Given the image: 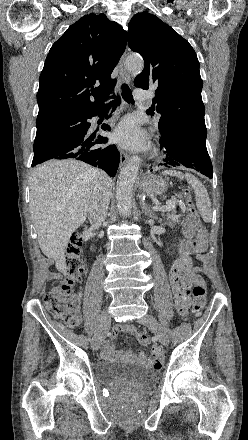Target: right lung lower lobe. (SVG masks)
<instances>
[{"instance_id": "98d812e1", "label": "right lung lower lobe", "mask_w": 248, "mask_h": 440, "mask_svg": "<svg viewBox=\"0 0 248 440\" xmlns=\"http://www.w3.org/2000/svg\"><path fill=\"white\" fill-rule=\"evenodd\" d=\"M119 104V98L113 102ZM103 104L82 108L37 127L32 167L50 159H76L105 170L114 177L119 166V152L115 145L99 146L106 142L102 136H88L93 116L101 115ZM103 130L110 131L107 124Z\"/></svg>"}]
</instances>
